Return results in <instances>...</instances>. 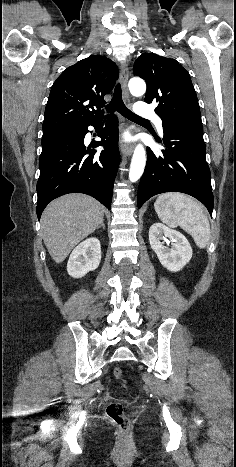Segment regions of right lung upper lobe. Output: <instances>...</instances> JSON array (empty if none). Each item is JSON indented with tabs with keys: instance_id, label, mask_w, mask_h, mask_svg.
Wrapping results in <instances>:
<instances>
[{
	"instance_id": "right-lung-upper-lobe-1",
	"label": "right lung upper lobe",
	"mask_w": 236,
	"mask_h": 467,
	"mask_svg": "<svg viewBox=\"0 0 236 467\" xmlns=\"http://www.w3.org/2000/svg\"><path fill=\"white\" fill-rule=\"evenodd\" d=\"M118 75L116 64L99 55L68 67L51 88L43 133L78 129L103 117L104 96L113 89Z\"/></svg>"
}]
</instances>
